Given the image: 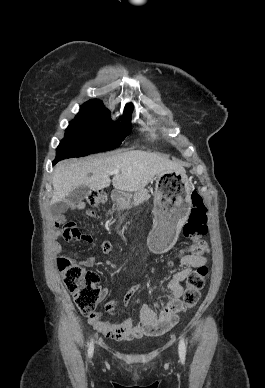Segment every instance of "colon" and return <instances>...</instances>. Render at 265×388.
Returning a JSON list of instances; mask_svg holds the SVG:
<instances>
[{
	"mask_svg": "<svg viewBox=\"0 0 265 388\" xmlns=\"http://www.w3.org/2000/svg\"><path fill=\"white\" fill-rule=\"evenodd\" d=\"M106 198L105 191L95 190L90 193L88 202L91 206L98 207L105 203ZM191 201L192 209L183 227V234L193 241L189 248L190 253L202 256L209 251L208 243L204 239L208 231L207 208L197 190L192 191ZM60 237L66 241H74L81 239L82 235L73 223H68L63 226ZM102 250L108 252L110 244L104 242ZM57 263L64 284L72 294L79 310L90 320L97 319L98 315L95 312V307L99 299L98 275L93 271L86 270L82 265L67 257H60ZM207 273V268L200 266L189 274L182 297L181 310L193 308L198 303Z\"/></svg>",
	"mask_w": 265,
	"mask_h": 388,
	"instance_id": "5ec220e1",
	"label": "colon"
}]
</instances>
